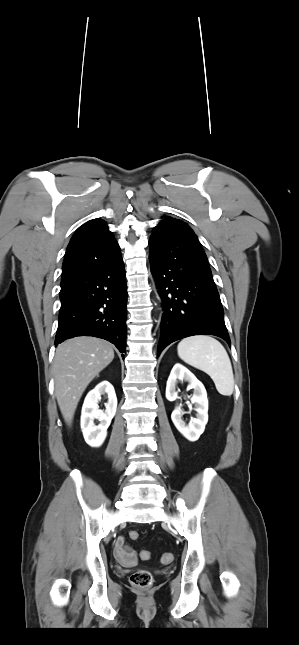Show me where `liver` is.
I'll use <instances>...</instances> for the list:
<instances>
[{
  "label": "liver",
  "instance_id": "1",
  "mask_svg": "<svg viewBox=\"0 0 299 645\" xmlns=\"http://www.w3.org/2000/svg\"><path fill=\"white\" fill-rule=\"evenodd\" d=\"M113 359L112 346L95 337H75L57 347L53 364L55 395L67 425L72 424L78 402L89 383Z\"/></svg>",
  "mask_w": 299,
  "mask_h": 645
}]
</instances>
